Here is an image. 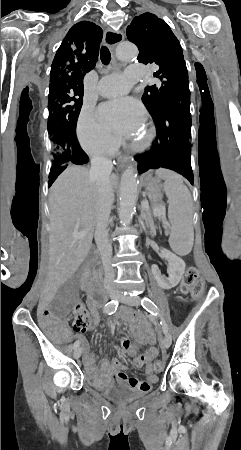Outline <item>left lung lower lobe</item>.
Masks as SVG:
<instances>
[{"label": "left lung lower lobe", "mask_w": 241, "mask_h": 450, "mask_svg": "<svg viewBox=\"0 0 241 450\" xmlns=\"http://www.w3.org/2000/svg\"><path fill=\"white\" fill-rule=\"evenodd\" d=\"M157 136L153 147L146 153L137 155L140 173L148 169L167 168L186 177L193 184L191 168L190 99L168 107L154 119Z\"/></svg>", "instance_id": "left-lung-lower-lobe-1"}]
</instances>
